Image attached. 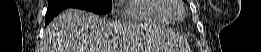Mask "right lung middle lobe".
Returning <instances> with one entry per match:
<instances>
[{
  "label": "right lung middle lobe",
  "mask_w": 261,
  "mask_h": 52,
  "mask_svg": "<svg viewBox=\"0 0 261 52\" xmlns=\"http://www.w3.org/2000/svg\"><path fill=\"white\" fill-rule=\"evenodd\" d=\"M49 7L80 8L96 14L111 11V1L108 0H48Z\"/></svg>",
  "instance_id": "right-lung-middle-lobe-1"
}]
</instances>
